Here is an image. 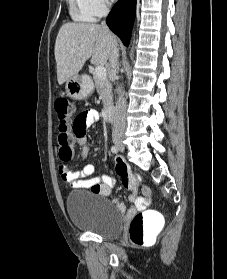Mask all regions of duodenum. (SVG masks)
<instances>
[{"label":"duodenum","mask_w":227,"mask_h":279,"mask_svg":"<svg viewBox=\"0 0 227 279\" xmlns=\"http://www.w3.org/2000/svg\"><path fill=\"white\" fill-rule=\"evenodd\" d=\"M105 117L108 121H113V110L111 107H107L105 110Z\"/></svg>","instance_id":"obj_1"}]
</instances>
